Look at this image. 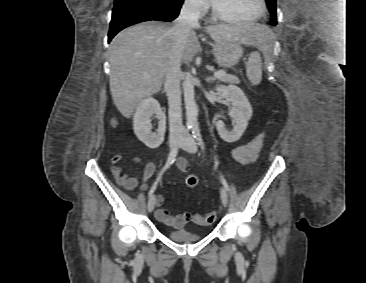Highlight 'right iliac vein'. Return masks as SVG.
I'll use <instances>...</instances> for the list:
<instances>
[{
    "instance_id": "63e3f726",
    "label": "right iliac vein",
    "mask_w": 366,
    "mask_h": 283,
    "mask_svg": "<svg viewBox=\"0 0 366 283\" xmlns=\"http://www.w3.org/2000/svg\"><path fill=\"white\" fill-rule=\"evenodd\" d=\"M181 140V136L178 134L175 135H171L169 138V146L170 149L173 150L174 148H176V146L178 145V143ZM155 206V196L152 195L149 200H148V204H147V209L149 212H152Z\"/></svg>"
}]
</instances>
